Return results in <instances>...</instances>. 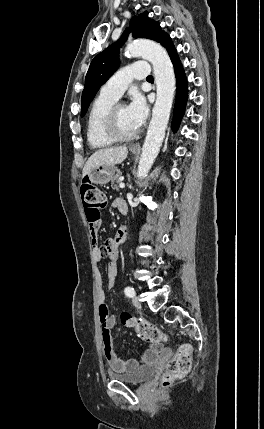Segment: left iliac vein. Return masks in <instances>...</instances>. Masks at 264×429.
<instances>
[{"instance_id":"left-iliac-vein-1","label":"left iliac vein","mask_w":264,"mask_h":429,"mask_svg":"<svg viewBox=\"0 0 264 429\" xmlns=\"http://www.w3.org/2000/svg\"><path fill=\"white\" fill-rule=\"evenodd\" d=\"M132 302H133V304H134L135 307H137V308L141 307V303H140V301H139V299H138L137 296H133Z\"/></svg>"}]
</instances>
